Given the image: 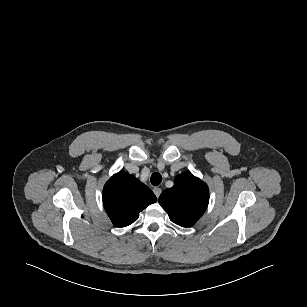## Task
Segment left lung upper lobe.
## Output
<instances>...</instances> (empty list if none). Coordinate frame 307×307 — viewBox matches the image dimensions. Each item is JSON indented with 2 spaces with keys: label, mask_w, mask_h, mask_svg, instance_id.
Here are the masks:
<instances>
[{
  "label": "left lung upper lobe",
  "mask_w": 307,
  "mask_h": 307,
  "mask_svg": "<svg viewBox=\"0 0 307 307\" xmlns=\"http://www.w3.org/2000/svg\"><path fill=\"white\" fill-rule=\"evenodd\" d=\"M209 202L207 185L190 172L175 178V184L159 197V203L169 218L181 227H190L203 215Z\"/></svg>",
  "instance_id": "obj_1"
}]
</instances>
